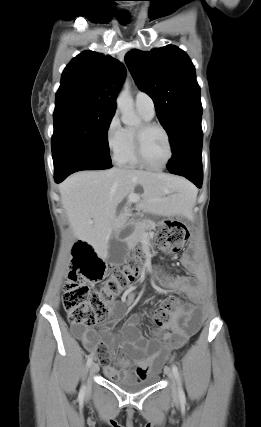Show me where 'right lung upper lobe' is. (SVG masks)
<instances>
[{
	"mask_svg": "<svg viewBox=\"0 0 261 427\" xmlns=\"http://www.w3.org/2000/svg\"><path fill=\"white\" fill-rule=\"evenodd\" d=\"M125 74V67L115 58L94 51L82 52L62 73L55 110L91 107L115 112Z\"/></svg>",
	"mask_w": 261,
	"mask_h": 427,
	"instance_id": "1",
	"label": "right lung upper lobe"
}]
</instances>
